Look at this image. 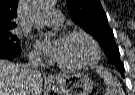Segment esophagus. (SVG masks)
<instances>
[{
  "label": "esophagus",
  "instance_id": "esophagus-1",
  "mask_svg": "<svg viewBox=\"0 0 135 95\" xmlns=\"http://www.w3.org/2000/svg\"><path fill=\"white\" fill-rule=\"evenodd\" d=\"M46 81H48V82H56L57 78L53 74H48L46 76Z\"/></svg>",
  "mask_w": 135,
  "mask_h": 95
}]
</instances>
